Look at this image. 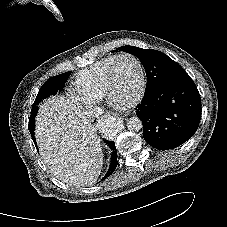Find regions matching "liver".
I'll return each mask as SVG.
<instances>
[{"mask_svg":"<svg viewBox=\"0 0 227 227\" xmlns=\"http://www.w3.org/2000/svg\"><path fill=\"white\" fill-rule=\"evenodd\" d=\"M35 136L51 173L73 186L93 184L103 165L100 139L91 119L64 96L39 106Z\"/></svg>","mask_w":227,"mask_h":227,"instance_id":"obj_1","label":"liver"}]
</instances>
